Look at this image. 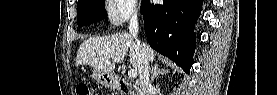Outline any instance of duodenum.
I'll return each mask as SVG.
<instances>
[{
    "mask_svg": "<svg viewBox=\"0 0 277 95\" xmlns=\"http://www.w3.org/2000/svg\"><path fill=\"white\" fill-rule=\"evenodd\" d=\"M118 87L123 94L139 95L140 92L138 84L124 79L118 81Z\"/></svg>",
    "mask_w": 277,
    "mask_h": 95,
    "instance_id": "obj_1",
    "label": "duodenum"
}]
</instances>
